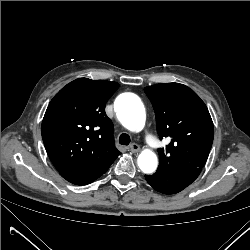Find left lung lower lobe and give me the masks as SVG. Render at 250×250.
Masks as SVG:
<instances>
[{"label": "left lung lower lobe", "mask_w": 250, "mask_h": 250, "mask_svg": "<svg viewBox=\"0 0 250 250\" xmlns=\"http://www.w3.org/2000/svg\"><path fill=\"white\" fill-rule=\"evenodd\" d=\"M201 172L200 168L157 169L153 175H145L147 182L158 192L175 194L190 185Z\"/></svg>", "instance_id": "0a47b994"}]
</instances>
